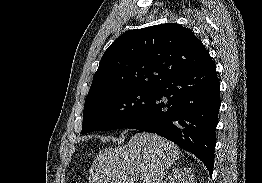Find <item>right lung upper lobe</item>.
I'll return each mask as SVG.
<instances>
[{"mask_svg":"<svg viewBox=\"0 0 262 183\" xmlns=\"http://www.w3.org/2000/svg\"><path fill=\"white\" fill-rule=\"evenodd\" d=\"M211 60L194 33L176 23L127 31L102 56L86 101L131 88H157Z\"/></svg>","mask_w":262,"mask_h":183,"instance_id":"1","label":"right lung upper lobe"}]
</instances>
